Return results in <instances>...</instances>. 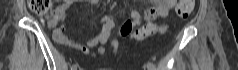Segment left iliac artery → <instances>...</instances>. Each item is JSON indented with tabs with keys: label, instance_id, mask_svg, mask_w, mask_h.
I'll return each mask as SVG.
<instances>
[{
	"label": "left iliac artery",
	"instance_id": "44dca946",
	"mask_svg": "<svg viewBox=\"0 0 238 70\" xmlns=\"http://www.w3.org/2000/svg\"><path fill=\"white\" fill-rule=\"evenodd\" d=\"M147 68H148L149 70H156L155 65H153V64L150 63V62L147 63Z\"/></svg>",
	"mask_w": 238,
	"mask_h": 70
}]
</instances>
